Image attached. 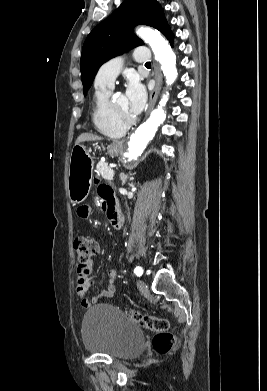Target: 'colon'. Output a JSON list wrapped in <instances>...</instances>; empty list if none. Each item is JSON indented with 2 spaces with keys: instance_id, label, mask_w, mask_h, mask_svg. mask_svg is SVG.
I'll return each instance as SVG.
<instances>
[{
  "instance_id": "colon-1",
  "label": "colon",
  "mask_w": 267,
  "mask_h": 391,
  "mask_svg": "<svg viewBox=\"0 0 267 391\" xmlns=\"http://www.w3.org/2000/svg\"><path fill=\"white\" fill-rule=\"evenodd\" d=\"M74 250L77 255L79 269L88 270L94 256L98 254L97 240L89 236H79L74 240ZM126 316L135 321L139 326L153 333V347L160 353L169 352L175 344V335L169 331V321L151 314H142L136 310H127Z\"/></svg>"
}]
</instances>
